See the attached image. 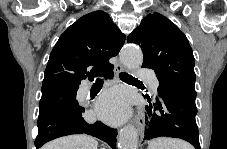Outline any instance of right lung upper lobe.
<instances>
[{
	"instance_id": "1",
	"label": "right lung upper lobe",
	"mask_w": 227,
	"mask_h": 149,
	"mask_svg": "<svg viewBox=\"0 0 227 149\" xmlns=\"http://www.w3.org/2000/svg\"><path fill=\"white\" fill-rule=\"evenodd\" d=\"M125 35L110 16L101 11L82 16L60 36L45 69L42 88L68 84L104 75L113 67L109 59L123 46Z\"/></svg>"
}]
</instances>
